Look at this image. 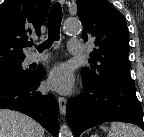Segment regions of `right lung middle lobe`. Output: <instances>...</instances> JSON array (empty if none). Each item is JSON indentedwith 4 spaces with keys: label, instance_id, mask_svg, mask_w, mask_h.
Masks as SVG:
<instances>
[{
    "label": "right lung middle lobe",
    "instance_id": "1",
    "mask_svg": "<svg viewBox=\"0 0 144 137\" xmlns=\"http://www.w3.org/2000/svg\"><path fill=\"white\" fill-rule=\"evenodd\" d=\"M21 63L22 61L6 68L0 69V80H20L29 77L33 73V71H30L28 69L24 70Z\"/></svg>",
    "mask_w": 144,
    "mask_h": 137
}]
</instances>
